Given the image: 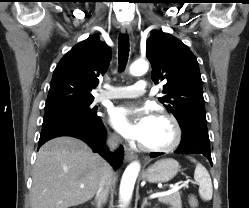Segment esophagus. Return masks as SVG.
<instances>
[{"mask_svg":"<svg viewBox=\"0 0 249 208\" xmlns=\"http://www.w3.org/2000/svg\"><path fill=\"white\" fill-rule=\"evenodd\" d=\"M121 32L123 34L129 35L131 45H132V47H134L135 43H134V36H133L132 27L128 24H125L121 27ZM136 158H137V155L132 150H130V149L125 150V160L126 161L129 162V161H132Z\"/></svg>","mask_w":249,"mask_h":208,"instance_id":"esophagus-1","label":"esophagus"}]
</instances>
